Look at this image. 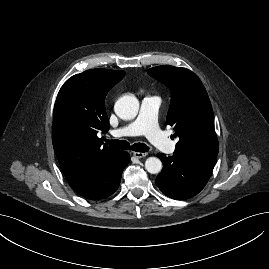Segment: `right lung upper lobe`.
<instances>
[{
  "label": "right lung upper lobe",
  "instance_id": "right-lung-upper-lobe-1",
  "mask_svg": "<svg viewBox=\"0 0 269 269\" xmlns=\"http://www.w3.org/2000/svg\"><path fill=\"white\" fill-rule=\"evenodd\" d=\"M124 76V71L91 69L72 76L61 87L54 106L52 140L67 180L97 170L122 152L103 145L97 134L110 127L104 100Z\"/></svg>",
  "mask_w": 269,
  "mask_h": 269
}]
</instances>
